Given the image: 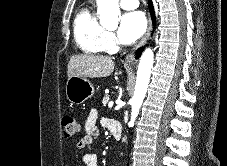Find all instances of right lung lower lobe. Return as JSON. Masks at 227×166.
<instances>
[{"instance_id": "98d812e1", "label": "right lung lower lobe", "mask_w": 227, "mask_h": 166, "mask_svg": "<svg viewBox=\"0 0 227 166\" xmlns=\"http://www.w3.org/2000/svg\"><path fill=\"white\" fill-rule=\"evenodd\" d=\"M149 7H150V13H151V16H152V19H153V23H155L154 9H153V6H152V3L151 2L149 3ZM142 50L143 49L137 50V53H136L137 57H139L141 55Z\"/></svg>"}]
</instances>
